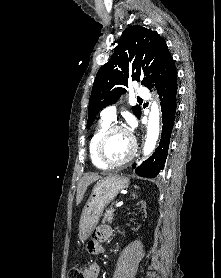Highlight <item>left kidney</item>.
<instances>
[{"label":"left kidney","instance_id":"5707ae66","mask_svg":"<svg viewBox=\"0 0 221 278\" xmlns=\"http://www.w3.org/2000/svg\"><path fill=\"white\" fill-rule=\"evenodd\" d=\"M137 205H141L144 208V210L146 209V203L144 201L138 202Z\"/></svg>","mask_w":221,"mask_h":278}]
</instances>
